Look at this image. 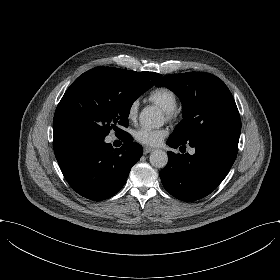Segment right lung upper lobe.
<instances>
[{"label": "right lung upper lobe", "instance_id": "1", "mask_svg": "<svg viewBox=\"0 0 280 280\" xmlns=\"http://www.w3.org/2000/svg\"><path fill=\"white\" fill-rule=\"evenodd\" d=\"M130 78H132L136 83H139L147 88H151L154 86L162 77L161 74L154 73V72H134L130 70H126ZM53 147H56L66 141L74 139V137L66 134L62 131H59L55 127H53Z\"/></svg>", "mask_w": 280, "mask_h": 280}]
</instances>
